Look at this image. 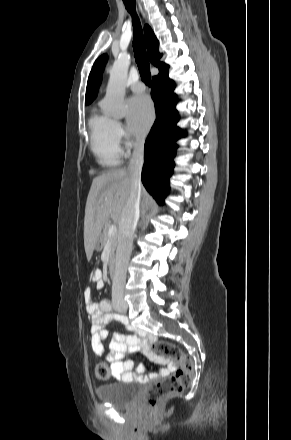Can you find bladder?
<instances>
[{
    "label": "bladder",
    "instance_id": "bladder-1",
    "mask_svg": "<svg viewBox=\"0 0 291 440\" xmlns=\"http://www.w3.org/2000/svg\"><path fill=\"white\" fill-rule=\"evenodd\" d=\"M95 393L99 400L122 408L130 406L136 401L140 395V388L136 381L121 379L115 383L98 387Z\"/></svg>",
    "mask_w": 291,
    "mask_h": 440
}]
</instances>
